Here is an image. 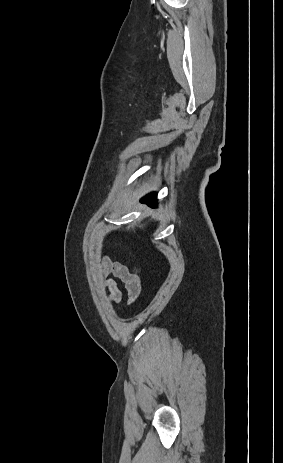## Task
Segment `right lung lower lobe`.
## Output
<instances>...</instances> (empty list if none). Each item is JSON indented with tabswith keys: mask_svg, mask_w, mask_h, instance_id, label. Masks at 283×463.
I'll use <instances>...</instances> for the list:
<instances>
[{
	"mask_svg": "<svg viewBox=\"0 0 283 463\" xmlns=\"http://www.w3.org/2000/svg\"><path fill=\"white\" fill-rule=\"evenodd\" d=\"M156 194L147 195L142 199V203H147L148 205L154 207L156 205Z\"/></svg>",
	"mask_w": 283,
	"mask_h": 463,
	"instance_id": "1",
	"label": "right lung lower lobe"
}]
</instances>
